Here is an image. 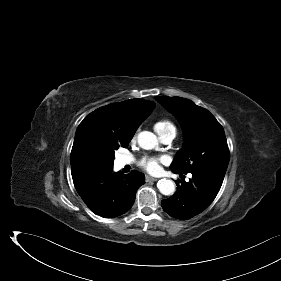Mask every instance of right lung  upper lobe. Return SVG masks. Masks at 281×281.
Here are the masks:
<instances>
[{
	"label": "right lung upper lobe",
	"mask_w": 281,
	"mask_h": 281,
	"mask_svg": "<svg viewBox=\"0 0 281 281\" xmlns=\"http://www.w3.org/2000/svg\"><path fill=\"white\" fill-rule=\"evenodd\" d=\"M154 107L151 101L131 99L98 108L86 116L77 128L71 151L74 185L113 167L115 149L130 142Z\"/></svg>",
	"instance_id": "cb5924a9"
}]
</instances>
